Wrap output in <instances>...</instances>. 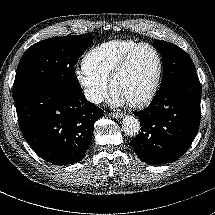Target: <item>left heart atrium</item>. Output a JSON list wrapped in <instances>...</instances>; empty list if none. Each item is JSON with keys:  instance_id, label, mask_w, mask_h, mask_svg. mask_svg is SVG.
<instances>
[{"instance_id": "left-heart-atrium-1", "label": "left heart atrium", "mask_w": 215, "mask_h": 215, "mask_svg": "<svg viewBox=\"0 0 215 215\" xmlns=\"http://www.w3.org/2000/svg\"><path fill=\"white\" fill-rule=\"evenodd\" d=\"M112 101L114 104H116L118 106H122V105L126 104V102L122 98H120L119 96L114 95V94L112 95Z\"/></svg>"}]
</instances>
